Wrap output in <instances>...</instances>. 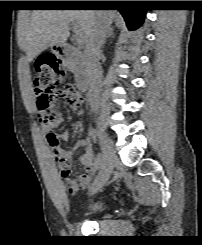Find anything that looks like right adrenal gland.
<instances>
[{"label": "right adrenal gland", "instance_id": "right-adrenal-gland-1", "mask_svg": "<svg viewBox=\"0 0 202 245\" xmlns=\"http://www.w3.org/2000/svg\"><path fill=\"white\" fill-rule=\"evenodd\" d=\"M110 37H114L113 28H109L107 36H106L105 41H104V44H105L106 40Z\"/></svg>", "mask_w": 202, "mask_h": 245}]
</instances>
